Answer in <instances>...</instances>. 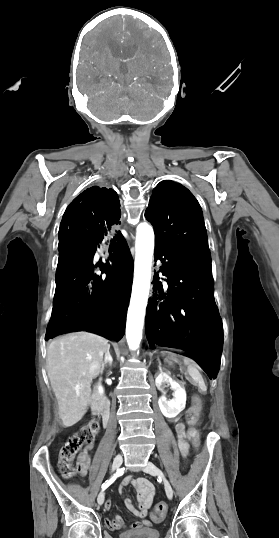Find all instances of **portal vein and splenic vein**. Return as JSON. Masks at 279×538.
I'll return each instance as SVG.
<instances>
[{
  "label": "portal vein and splenic vein",
  "mask_w": 279,
  "mask_h": 538,
  "mask_svg": "<svg viewBox=\"0 0 279 538\" xmlns=\"http://www.w3.org/2000/svg\"><path fill=\"white\" fill-rule=\"evenodd\" d=\"M179 379H181L182 383L187 384V381L184 380L183 376H179Z\"/></svg>",
  "instance_id": "18ae733b"
}]
</instances>
